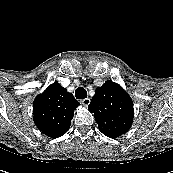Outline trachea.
Listing matches in <instances>:
<instances>
[{"instance_id": "3493384b", "label": "trachea", "mask_w": 173, "mask_h": 173, "mask_svg": "<svg viewBox=\"0 0 173 173\" xmlns=\"http://www.w3.org/2000/svg\"><path fill=\"white\" fill-rule=\"evenodd\" d=\"M75 97L77 99H85L87 98V91L83 87H78L75 90Z\"/></svg>"}]
</instances>
